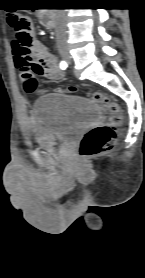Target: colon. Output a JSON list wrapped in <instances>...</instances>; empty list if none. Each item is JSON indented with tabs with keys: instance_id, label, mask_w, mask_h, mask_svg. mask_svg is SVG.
<instances>
[{
	"instance_id": "5ec220e1",
	"label": "colon",
	"mask_w": 145,
	"mask_h": 278,
	"mask_svg": "<svg viewBox=\"0 0 145 278\" xmlns=\"http://www.w3.org/2000/svg\"><path fill=\"white\" fill-rule=\"evenodd\" d=\"M9 26L15 33L21 46L29 48L33 41V35L30 30L28 20L19 14H10L7 18ZM55 92L74 93L76 88L69 87L66 89H55ZM26 92L29 94L38 93V84L36 78L33 76L26 87ZM92 98L102 104V106L109 112V123L99 125L88 130L79 147V156L82 161L89 159L110 150L116 142V127L122 125L124 121V114L121 106L114 102L108 96L95 93Z\"/></svg>"
}]
</instances>
